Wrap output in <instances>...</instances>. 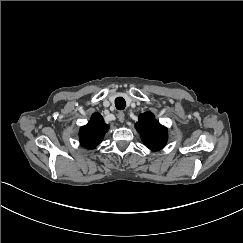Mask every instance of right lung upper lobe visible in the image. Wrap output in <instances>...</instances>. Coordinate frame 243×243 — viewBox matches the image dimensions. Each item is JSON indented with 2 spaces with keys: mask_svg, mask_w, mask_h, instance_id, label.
Listing matches in <instances>:
<instances>
[{
  "mask_svg": "<svg viewBox=\"0 0 243 243\" xmlns=\"http://www.w3.org/2000/svg\"><path fill=\"white\" fill-rule=\"evenodd\" d=\"M109 126L99 113H94L87 125L80 129V143L88 149L95 148L103 139Z\"/></svg>",
  "mask_w": 243,
  "mask_h": 243,
  "instance_id": "right-lung-upper-lobe-1",
  "label": "right lung upper lobe"
}]
</instances>
